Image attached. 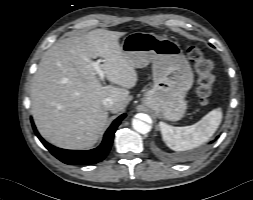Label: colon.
<instances>
[{
  "label": "colon",
  "mask_w": 253,
  "mask_h": 200,
  "mask_svg": "<svg viewBox=\"0 0 253 200\" xmlns=\"http://www.w3.org/2000/svg\"><path fill=\"white\" fill-rule=\"evenodd\" d=\"M187 54L198 75L197 94L199 102L202 105H207L213 93L215 83V76L212 72L213 63L196 46L187 47Z\"/></svg>",
  "instance_id": "colon-1"
}]
</instances>
